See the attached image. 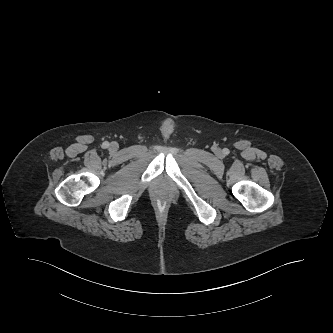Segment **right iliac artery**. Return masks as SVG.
<instances>
[{
    "mask_svg": "<svg viewBox=\"0 0 333 333\" xmlns=\"http://www.w3.org/2000/svg\"><path fill=\"white\" fill-rule=\"evenodd\" d=\"M102 147L103 148H108L109 147V143L107 141L103 142Z\"/></svg>",
    "mask_w": 333,
    "mask_h": 333,
    "instance_id": "obj_1",
    "label": "right iliac artery"
}]
</instances>
